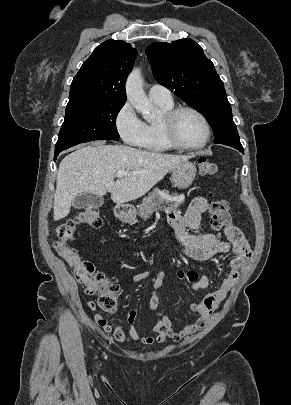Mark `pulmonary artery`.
<instances>
[{
    "label": "pulmonary artery",
    "instance_id": "obj_1",
    "mask_svg": "<svg viewBox=\"0 0 291 405\" xmlns=\"http://www.w3.org/2000/svg\"><path fill=\"white\" fill-rule=\"evenodd\" d=\"M149 97L154 101H161V102H171L172 95L168 88L160 85V84H153L149 91Z\"/></svg>",
    "mask_w": 291,
    "mask_h": 405
}]
</instances>
